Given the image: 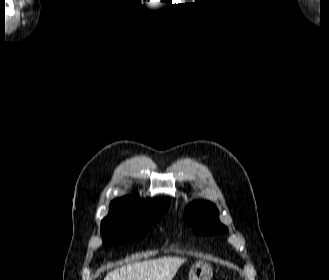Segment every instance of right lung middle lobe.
Wrapping results in <instances>:
<instances>
[{"label":"right lung middle lobe","mask_w":329,"mask_h":280,"mask_svg":"<svg viewBox=\"0 0 329 280\" xmlns=\"http://www.w3.org/2000/svg\"><path fill=\"white\" fill-rule=\"evenodd\" d=\"M168 207L146 213L130 207L110 205L108 216L101 222L103 243L116 245L141 240L151 225L161 220Z\"/></svg>","instance_id":"dd1d6c3e"}]
</instances>
